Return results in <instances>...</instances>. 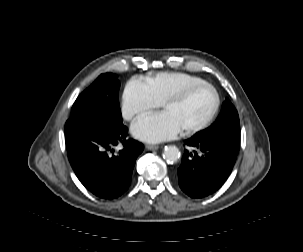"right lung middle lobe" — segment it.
<instances>
[{"label":"right lung middle lobe","instance_id":"1","mask_svg":"<svg viewBox=\"0 0 303 252\" xmlns=\"http://www.w3.org/2000/svg\"><path fill=\"white\" fill-rule=\"evenodd\" d=\"M120 83L115 74H102L76 99L71 119H89L112 125H123L119 107Z\"/></svg>","mask_w":303,"mask_h":252}]
</instances>
